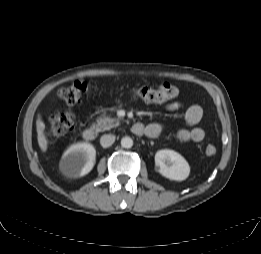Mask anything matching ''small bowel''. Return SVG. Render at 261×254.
Instances as JSON below:
<instances>
[{"instance_id":"small-bowel-1","label":"small bowel","mask_w":261,"mask_h":254,"mask_svg":"<svg viewBox=\"0 0 261 254\" xmlns=\"http://www.w3.org/2000/svg\"><path fill=\"white\" fill-rule=\"evenodd\" d=\"M180 106L181 104L178 101H173L167 105V109L170 111H175L178 110ZM202 116V107L200 105L195 104L190 106L185 111L183 121L187 126H194L200 122ZM137 124L143 128L142 134L136 133L137 135H145L149 138H155L163 132L162 126L157 123H152L146 126L140 123ZM176 136L181 143L200 142L205 137V131L200 127H184L177 131Z\"/></svg>"}]
</instances>
